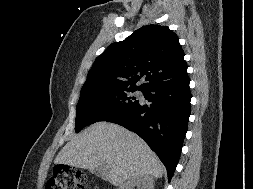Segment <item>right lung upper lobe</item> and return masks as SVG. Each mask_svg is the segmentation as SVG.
I'll use <instances>...</instances> for the list:
<instances>
[{
    "mask_svg": "<svg viewBox=\"0 0 253 189\" xmlns=\"http://www.w3.org/2000/svg\"><path fill=\"white\" fill-rule=\"evenodd\" d=\"M187 65L177 35L167 26L147 25L112 43L89 70L81 93L107 86L147 88L186 77ZM145 83L136 86L142 78Z\"/></svg>",
    "mask_w": 253,
    "mask_h": 189,
    "instance_id": "cb5924a9",
    "label": "right lung upper lobe"
}]
</instances>
